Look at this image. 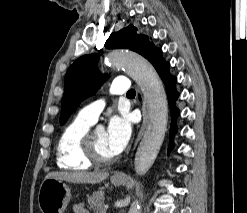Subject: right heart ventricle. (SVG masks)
I'll return each instance as SVG.
<instances>
[{"label": "right heart ventricle", "mask_w": 247, "mask_h": 213, "mask_svg": "<svg viewBox=\"0 0 247 213\" xmlns=\"http://www.w3.org/2000/svg\"><path fill=\"white\" fill-rule=\"evenodd\" d=\"M92 123L78 116L64 127L57 141L56 162L60 169L69 171H84L91 168L80 150L83 135L90 129Z\"/></svg>", "instance_id": "right-heart-ventricle-1"}]
</instances>
